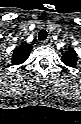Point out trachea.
Segmentation results:
<instances>
[{
  "instance_id": "3493384b",
  "label": "trachea",
  "mask_w": 81,
  "mask_h": 124,
  "mask_svg": "<svg viewBox=\"0 0 81 124\" xmlns=\"http://www.w3.org/2000/svg\"><path fill=\"white\" fill-rule=\"evenodd\" d=\"M48 34L46 32V30L42 29L40 30V32L38 33V39L39 40H45L47 38Z\"/></svg>"
}]
</instances>
